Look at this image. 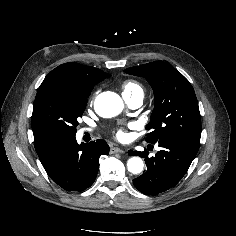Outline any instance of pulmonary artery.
Returning a JSON list of instances; mask_svg holds the SVG:
<instances>
[{
	"label": "pulmonary artery",
	"instance_id": "pulmonary-artery-1",
	"mask_svg": "<svg viewBox=\"0 0 236 236\" xmlns=\"http://www.w3.org/2000/svg\"><path fill=\"white\" fill-rule=\"evenodd\" d=\"M124 99L131 108H138L142 105L143 95H136V96H132V97L124 96ZM85 131L89 132L90 129L82 130L81 134H83Z\"/></svg>",
	"mask_w": 236,
	"mask_h": 236
}]
</instances>
